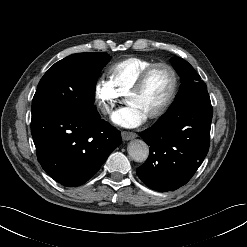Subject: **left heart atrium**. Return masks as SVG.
I'll return each mask as SVG.
<instances>
[{
	"label": "left heart atrium",
	"mask_w": 247,
	"mask_h": 247,
	"mask_svg": "<svg viewBox=\"0 0 247 247\" xmlns=\"http://www.w3.org/2000/svg\"><path fill=\"white\" fill-rule=\"evenodd\" d=\"M147 116L136 106L128 105L112 116V121L124 128H135L145 122Z\"/></svg>",
	"instance_id": "obj_1"
}]
</instances>
